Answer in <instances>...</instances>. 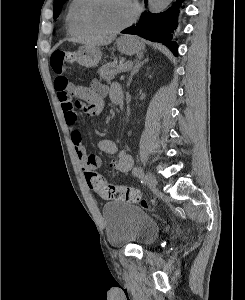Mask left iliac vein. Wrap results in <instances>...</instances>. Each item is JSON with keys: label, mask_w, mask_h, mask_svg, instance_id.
<instances>
[{"label": "left iliac vein", "mask_w": 245, "mask_h": 300, "mask_svg": "<svg viewBox=\"0 0 245 300\" xmlns=\"http://www.w3.org/2000/svg\"><path fill=\"white\" fill-rule=\"evenodd\" d=\"M145 180L151 190H153V191L156 190L158 182H157L156 177L153 174L148 172L145 175Z\"/></svg>", "instance_id": "4c4485c4"}]
</instances>
